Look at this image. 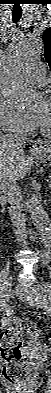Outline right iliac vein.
Returning a JSON list of instances; mask_svg holds the SVG:
<instances>
[{"label": "right iliac vein", "instance_id": "1", "mask_svg": "<svg viewBox=\"0 0 51 393\" xmlns=\"http://www.w3.org/2000/svg\"><path fill=\"white\" fill-rule=\"evenodd\" d=\"M12 291V281L8 279L1 287L0 298H1V308L6 309V303Z\"/></svg>", "mask_w": 51, "mask_h": 393}]
</instances>
